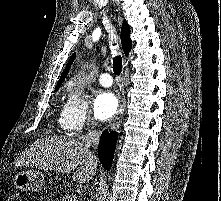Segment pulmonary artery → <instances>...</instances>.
I'll use <instances>...</instances> for the list:
<instances>
[{
    "label": "pulmonary artery",
    "mask_w": 221,
    "mask_h": 201,
    "mask_svg": "<svg viewBox=\"0 0 221 201\" xmlns=\"http://www.w3.org/2000/svg\"><path fill=\"white\" fill-rule=\"evenodd\" d=\"M99 82L104 87H110L113 83L112 76L109 73L101 74Z\"/></svg>",
    "instance_id": "obj_1"
}]
</instances>
